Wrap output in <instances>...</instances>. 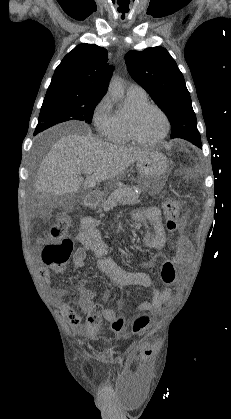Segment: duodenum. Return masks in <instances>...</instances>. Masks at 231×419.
Returning <instances> with one entry per match:
<instances>
[{"label": "duodenum", "mask_w": 231, "mask_h": 419, "mask_svg": "<svg viewBox=\"0 0 231 419\" xmlns=\"http://www.w3.org/2000/svg\"><path fill=\"white\" fill-rule=\"evenodd\" d=\"M84 201L86 207H94L98 202V195L96 193H88L86 194Z\"/></svg>", "instance_id": "410a0bca"}]
</instances>
